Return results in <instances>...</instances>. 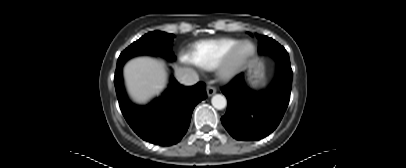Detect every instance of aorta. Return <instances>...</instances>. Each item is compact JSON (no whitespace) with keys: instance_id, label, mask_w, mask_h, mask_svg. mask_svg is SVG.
<instances>
[{"instance_id":"obj_1","label":"aorta","mask_w":406,"mask_h":168,"mask_svg":"<svg viewBox=\"0 0 406 168\" xmlns=\"http://www.w3.org/2000/svg\"><path fill=\"white\" fill-rule=\"evenodd\" d=\"M211 103L213 105L214 108L221 110L224 109L227 105V100L225 98V96L221 95V94H216L212 97L211 99Z\"/></svg>"}]
</instances>
